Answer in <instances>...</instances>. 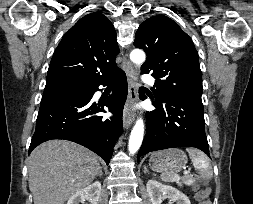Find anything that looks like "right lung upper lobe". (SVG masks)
I'll list each match as a JSON object with an SVG mask.
<instances>
[{
  "label": "right lung upper lobe",
  "mask_w": 253,
  "mask_h": 204,
  "mask_svg": "<svg viewBox=\"0 0 253 204\" xmlns=\"http://www.w3.org/2000/svg\"><path fill=\"white\" fill-rule=\"evenodd\" d=\"M119 48L110 20L100 12L82 17L56 48L47 82L69 81L92 86L121 70L115 63Z\"/></svg>",
  "instance_id": "1"
}]
</instances>
